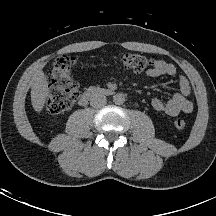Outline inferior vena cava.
Returning <instances> with one entry per match:
<instances>
[{
    "mask_svg": "<svg viewBox=\"0 0 216 216\" xmlns=\"http://www.w3.org/2000/svg\"><path fill=\"white\" fill-rule=\"evenodd\" d=\"M107 103L106 96L103 94H94L90 98V105L94 108H100Z\"/></svg>",
    "mask_w": 216,
    "mask_h": 216,
    "instance_id": "1",
    "label": "inferior vena cava"
}]
</instances>
